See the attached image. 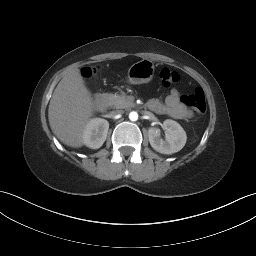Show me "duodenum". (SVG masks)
I'll return each instance as SVG.
<instances>
[{"mask_svg":"<svg viewBox=\"0 0 256 256\" xmlns=\"http://www.w3.org/2000/svg\"><path fill=\"white\" fill-rule=\"evenodd\" d=\"M93 103L97 109H103L107 106V96L105 94H96L93 98Z\"/></svg>","mask_w":256,"mask_h":256,"instance_id":"duodenum-1","label":"duodenum"}]
</instances>
